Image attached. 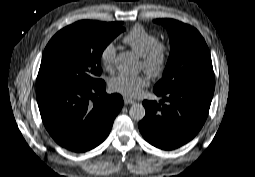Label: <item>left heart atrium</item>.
<instances>
[{"mask_svg": "<svg viewBox=\"0 0 255 177\" xmlns=\"http://www.w3.org/2000/svg\"><path fill=\"white\" fill-rule=\"evenodd\" d=\"M148 82L144 75H119L110 82V90L127 98L138 97Z\"/></svg>", "mask_w": 255, "mask_h": 177, "instance_id": "1", "label": "left heart atrium"}]
</instances>
